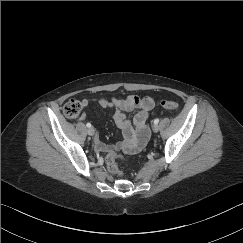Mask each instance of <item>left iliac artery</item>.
I'll return each instance as SVG.
<instances>
[{"label": "left iliac artery", "instance_id": "44dca946", "mask_svg": "<svg viewBox=\"0 0 243 243\" xmlns=\"http://www.w3.org/2000/svg\"><path fill=\"white\" fill-rule=\"evenodd\" d=\"M158 123H159V119L156 118V119L154 120V124L157 125Z\"/></svg>", "mask_w": 243, "mask_h": 243}]
</instances>
